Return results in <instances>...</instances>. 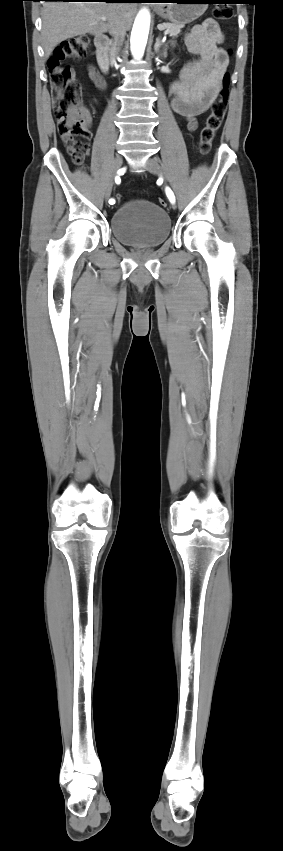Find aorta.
<instances>
[{
    "mask_svg": "<svg viewBox=\"0 0 283 851\" xmlns=\"http://www.w3.org/2000/svg\"><path fill=\"white\" fill-rule=\"evenodd\" d=\"M150 28V13L147 9L139 11L131 32V51L135 59L142 58L147 44Z\"/></svg>",
    "mask_w": 283,
    "mask_h": 851,
    "instance_id": "obj_1",
    "label": "aorta"
}]
</instances>
